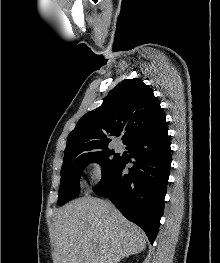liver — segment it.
Returning a JSON list of instances; mask_svg holds the SVG:
<instances>
[{
  "label": "liver",
  "mask_w": 220,
  "mask_h": 263,
  "mask_svg": "<svg viewBox=\"0 0 220 263\" xmlns=\"http://www.w3.org/2000/svg\"><path fill=\"white\" fill-rule=\"evenodd\" d=\"M55 263H118L146 247V235L111 203L73 200L54 218Z\"/></svg>",
  "instance_id": "6515ba94"
}]
</instances>
